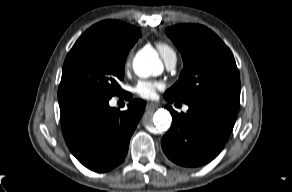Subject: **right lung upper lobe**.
<instances>
[{
  "mask_svg": "<svg viewBox=\"0 0 292 192\" xmlns=\"http://www.w3.org/2000/svg\"><path fill=\"white\" fill-rule=\"evenodd\" d=\"M94 26L99 27L107 41L116 47L134 45L141 36L139 28L117 20H105Z\"/></svg>",
  "mask_w": 292,
  "mask_h": 192,
  "instance_id": "obj_1",
  "label": "right lung upper lobe"
}]
</instances>
